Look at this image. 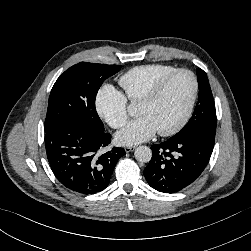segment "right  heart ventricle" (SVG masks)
Masks as SVG:
<instances>
[{"label": "right heart ventricle", "mask_w": 251, "mask_h": 251, "mask_svg": "<svg viewBox=\"0 0 251 251\" xmlns=\"http://www.w3.org/2000/svg\"><path fill=\"white\" fill-rule=\"evenodd\" d=\"M177 70L165 64H150L134 67L120 76L121 86L126 100L139 102L160 80Z\"/></svg>", "instance_id": "right-heart-ventricle-1"}]
</instances>
